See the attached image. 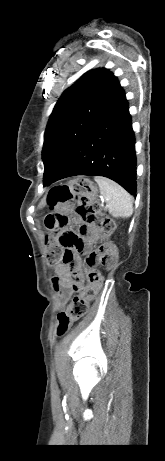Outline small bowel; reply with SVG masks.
Listing matches in <instances>:
<instances>
[{"label":"small bowel","mask_w":165,"mask_h":461,"mask_svg":"<svg viewBox=\"0 0 165 461\" xmlns=\"http://www.w3.org/2000/svg\"><path fill=\"white\" fill-rule=\"evenodd\" d=\"M54 237L57 249L72 250L60 251V263L55 266L52 279L58 293V303L65 304L72 293L80 290L84 284L79 253L92 247L99 239V232L96 225H73V229H58ZM115 255L117 257L116 250Z\"/></svg>","instance_id":"obj_1"}]
</instances>
